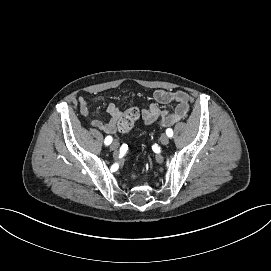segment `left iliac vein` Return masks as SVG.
I'll use <instances>...</instances> for the list:
<instances>
[{
	"mask_svg": "<svg viewBox=\"0 0 271 271\" xmlns=\"http://www.w3.org/2000/svg\"><path fill=\"white\" fill-rule=\"evenodd\" d=\"M160 142L162 145H167L169 143V137L166 134H162L160 137Z\"/></svg>",
	"mask_w": 271,
	"mask_h": 271,
	"instance_id": "left-iliac-vein-1",
	"label": "left iliac vein"
}]
</instances>
